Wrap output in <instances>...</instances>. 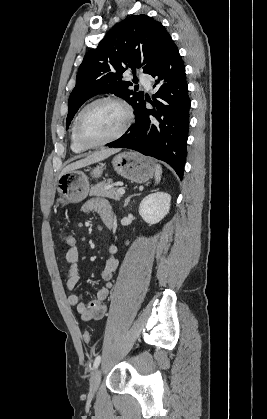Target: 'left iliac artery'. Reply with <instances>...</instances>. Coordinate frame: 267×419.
Instances as JSON below:
<instances>
[{
	"label": "left iliac artery",
	"mask_w": 267,
	"mask_h": 419,
	"mask_svg": "<svg viewBox=\"0 0 267 419\" xmlns=\"http://www.w3.org/2000/svg\"><path fill=\"white\" fill-rule=\"evenodd\" d=\"M100 361H101V356H100V355H98V356L95 358V360H94L93 367H94V368H97V367L99 366V364H100Z\"/></svg>",
	"instance_id": "obj_1"
}]
</instances>
